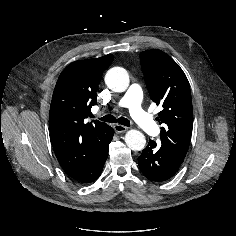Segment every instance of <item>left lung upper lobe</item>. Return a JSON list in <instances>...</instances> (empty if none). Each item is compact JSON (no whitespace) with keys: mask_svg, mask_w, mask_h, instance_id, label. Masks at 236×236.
<instances>
[{"mask_svg":"<svg viewBox=\"0 0 236 236\" xmlns=\"http://www.w3.org/2000/svg\"><path fill=\"white\" fill-rule=\"evenodd\" d=\"M140 60L150 98L163 108L156 118L163 125L159 146L183 160L193 129L187 77L180 66L161 50L143 51Z\"/></svg>","mask_w":236,"mask_h":236,"instance_id":"5c2ea615","label":"left lung upper lobe"}]
</instances>
